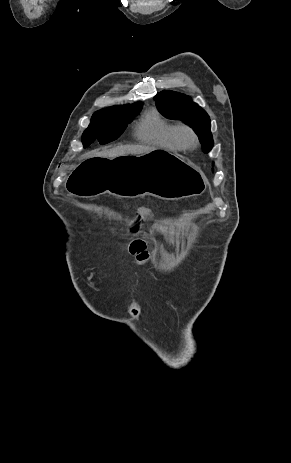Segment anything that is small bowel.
Wrapping results in <instances>:
<instances>
[{"label":"small bowel","instance_id":"obj_1","mask_svg":"<svg viewBox=\"0 0 291 463\" xmlns=\"http://www.w3.org/2000/svg\"><path fill=\"white\" fill-rule=\"evenodd\" d=\"M142 217L153 219L155 217V214L153 212L144 211L142 212V215L138 213H135L133 215L134 221L130 230L131 239L127 245V250L130 254H132L135 257L136 261L139 264H145L150 256L148 251V245L144 238Z\"/></svg>","mask_w":291,"mask_h":463}]
</instances>
